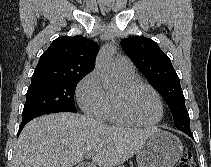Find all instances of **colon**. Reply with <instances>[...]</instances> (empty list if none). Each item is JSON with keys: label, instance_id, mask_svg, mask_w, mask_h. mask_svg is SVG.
Segmentation results:
<instances>
[{"label": "colon", "instance_id": "obj_1", "mask_svg": "<svg viewBox=\"0 0 211 167\" xmlns=\"http://www.w3.org/2000/svg\"><path fill=\"white\" fill-rule=\"evenodd\" d=\"M176 167H196L193 157L190 153H185L181 156Z\"/></svg>", "mask_w": 211, "mask_h": 167}]
</instances>
